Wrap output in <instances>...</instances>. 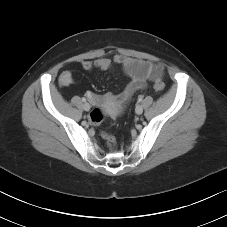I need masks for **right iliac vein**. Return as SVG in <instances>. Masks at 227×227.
Returning a JSON list of instances; mask_svg holds the SVG:
<instances>
[{
  "label": "right iliac vein",
  "mask_w": 227,
  "mask_h": 227,
  "mask_svg": "<svg viewBox=\"0 0 227 227\" xmlns=\"http://www.w3.org/2000/svg\"><path fill=\"white\" fill-rule=\"evenodd\" d=\"M83 109H84L85 111H89V110H90V105H89L88 103H85V104L83 105Z\"/></svg>",
  "instance_id": "obj_1"
}]
</instances>
